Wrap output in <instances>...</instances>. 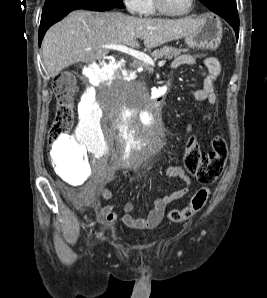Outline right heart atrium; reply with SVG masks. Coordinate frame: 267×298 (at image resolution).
<instances>
[{"mask_svg": "<svg viewBox=\"0 0 267 298\" xmlns=\"http://www.w3.org/2000/svg\"><path fill=\"white\" fill-rule=\"evenodd\" d=\"M126 10L131 14H140L143 0H122Z\"/></svg>", "mask_w": 267, "mask_h": 298, "instance_id": "right-heart-atrium-1", "label": "right heart atrium"}]
</instances>
